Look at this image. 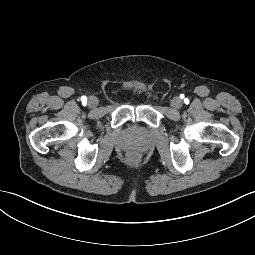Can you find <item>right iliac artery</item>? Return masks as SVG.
<instances>
[{"instance_id":"obj_1","label":"right iliac artery","mask_w":255,"mask_h":255,"mask_svg":"<svg viewBox=\"0 0 255 255\" xmlns=\"http://www.w3.org/2000/svg\"><path fill=\"white\" fill-rule=\"evenodd\" d=\"M87 98L85 96L82 97V102L86 103Z\"/></svg>"}]
</instances>
